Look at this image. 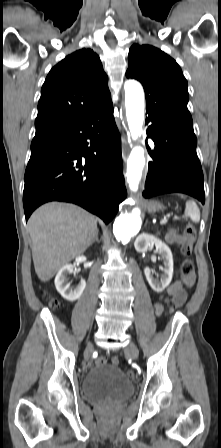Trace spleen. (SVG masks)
<instances>
[{
    "instance_id": "1",
    "label": "spleen",
    "mask_w": 221,
    "mask_h": 448,
    "mask_svg": "<svg viewBox=\"0 0 221 448\" xmlns=\"http://www.w3.org/2000/svg\"><path fill=\"white\" fill-rule=\"evenodd\" d=\"M185 217H189L193 222L200 221V210L194 201H187L185 208Z\"/></svg>"
}]
</instances>
